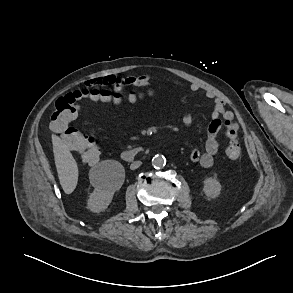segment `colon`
<instances>
[{
	"instance_id": "obj_1",
	"label": "colon",
	"mask_w": 293,
	"mask_h": 293,
	"mask_svg": "<svg viewBox=\"0 0 293 293\" xmlns=\"http://www.w3.org/2000/svg\"><path fill=\"white\" fill-rule=\"evenodd\" d=\"M84 97L104 102L113 98L114 95L107 86L100 85L92 89L75 90L60 97L51 112V127L60 134L69 148L80 154L84 163L93 165L97 163L100 155V148L96 140L70 125L78 115V102ZM225 126L227 138L225 154L229 159L237 160L241 155V148L237 141V127L230 122H226Z\"/></svg>"
}]
</instances>
